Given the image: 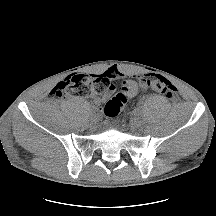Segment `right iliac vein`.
I'll use <instances>...</instances> for the list:
<instances>
[{
    "label": "right iliac vein",
    "instance_id": "1",
    "mask_svg": "<svg viewBox=\"0 0 216 216\" xmlns=\"http://www.w3.org/2000/svg\"><path fill=\"white\" fill-rule=\"evenodd\" d=\"M90 121H91V123H95V122L97 121L96 116L93 115V116L90 118Z\"/></svg>",
    "mask_w": 216,
    "mask_h": 216
}]
</instances>
